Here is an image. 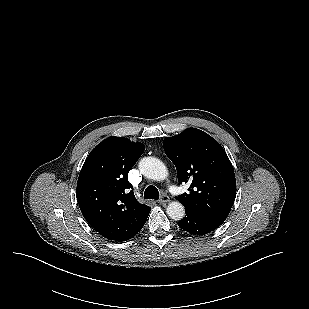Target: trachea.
<instances>
[{"mask_svg": "<svg viewBox=\"0 0 309 309\" xmlns=\"http://www.w3.org/2000/svg\"><path fill=\"white\" fill-rule=\"evenodd\" d=\"M145 199H158L159 198V191L155 186H148L144 192Z\"/></svg>", "mask_w": 309, "mask_h": 309, "instance_id": "trachea-1", "label": "trachea"}]
</instances>
